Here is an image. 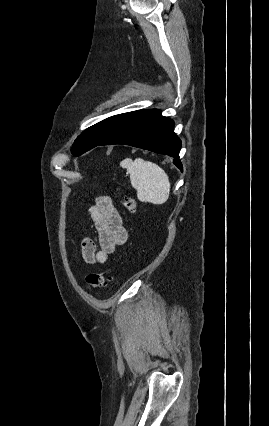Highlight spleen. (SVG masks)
I'll return each mask as SVG.
<instances>
[{"mask_svg":"<svg viewBox=\"0 0 269 426\" xmlns=\"http://www.w3.org/2000/svg\"><path fill=\"white\" fill-rule=\"evenodd\" d=\"M120 166L129 173L139 201L160 205L168 200L171 187L169 177L157 164L142 158H126L120 162Z\"/></svg>","mask_w":269,"mask_h":426,"instance_id":"3e777b00","label":"spleen"}]
</instances>
